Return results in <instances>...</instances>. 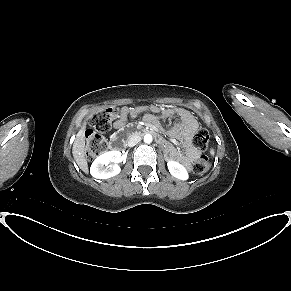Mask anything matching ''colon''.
<instances>
[{
    "label": "colon",
    "mask_w": 291,
    "mask_h": 291,
    "mask_svg": "<svg viewBox=\"0 0 291 291\" xmlns=\"http://www.w3.org/2000/svg\"><path fill=\"white\" fill-rule=\"evenodd\" d=\"M122 110L116 107H108L94 114L90 119V127L86 130V156L94 159L108 150V143L102 136L111 129ZM210 136L207 130L199 129L192 138V145L200 150H206L209 145ZM210 167L209 159L200 155L193 164V171L196 174H204Z\"/></svg>",
    "instance_id": "obj_1"
}]
</instances>
